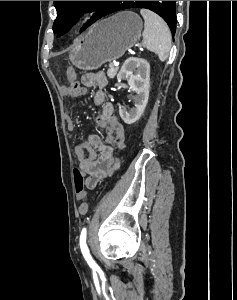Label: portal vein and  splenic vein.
Segmentation results:
<instances>
[{
	"label": "portal vein and splenic vein",
	"instance_id": "obj_1",
	"mask_svg": "<svg viewBox=\"0 0 237 300\" xmlns=\"http://www.w3.org/2000/svg\"><path fill=\"white\" fill-rule=\"evenodd\" d=\"M109 63H110V64H109V65H110L109 67H110L111 69L114 68V64H113L114 62L111 60Z\"/></svg>",
	"mask_w": 237,
	"mask_h": 300
}]
</instances>
